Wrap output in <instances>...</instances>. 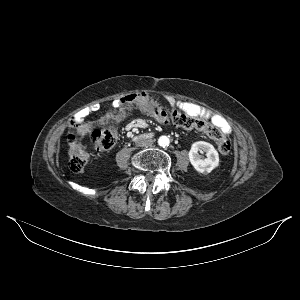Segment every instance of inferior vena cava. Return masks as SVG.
I'll list each match as a JSON object with an SVG mask.
<instances>
[{"instance_id": "obj_1", "label": "inferior vena cava", "mask_w": 300, "mask_h": 300, "mask_svg": "<svg viewBox=\"0 0 300 300\" xmlns=\"http://www.w3.org/2000/svg\"><path fill=\"white\" fill-rule=\"evenodd\" d=\"M136 145L139 147H150L152 145V140L150 139H139L136 141Z\"/></svg>"}]
</instances>
